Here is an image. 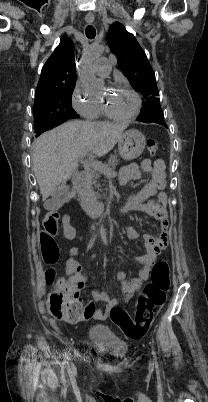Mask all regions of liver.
Wrapping results in <instances>:
<instances>
[{
    "label": "liver",
    "mask_w": 208,
    "mask_h": 402,
    "mask_svg": "<svg viewBox=\"0 0 208 402\" xmlns=\"http://www.w3.org/2000/svg\"><path fill=\"white\" fill-rule=\"evenodd\" d=\"M128 124L109 122H66L45 132L33 142V170L42 194L47 200L56 186L70 180L78 168V158L92 150L98 158L113 150Z\"/></svg>",
    "instance_id": "liver-1"
}]
</instances>
